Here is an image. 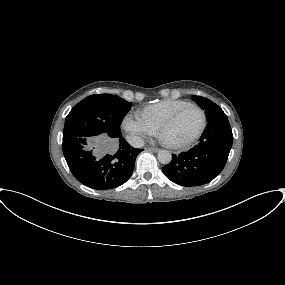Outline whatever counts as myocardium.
Returning <instances> with one entry per match:
<instances>
[{
  "mask_svg": "<svg viewBox=\"0 0 285 285\" xmlns=\"http://www.w3.org/2000/svg\"><path fill=\"white\" fill-rule=\"evenodd\" d=\"M187 108H196L201 113L202 124H201L199 130L190 138L183 140V141H180V142H172V141L167 140L164 136L166 130L169 129L177 121V119L182 114V112L184 110H186ZM206 125H207V117H206L204 110L196 104L189 103V104L181 107L180 109H178L172 116H170L165 122H163L158 127L157 131H158V134L161 136V138H162V140L166 146H168L170 148L178 149V148L186 147V146L192 144L193 142H195L197 139H199L200 136L203 134V132L206 128Z\"/></svg>",
  "mask_w": 285,
  "mask_h": 285,
  "instance_id": "obj_1",
  "label": "myocardium"
}]
</instances>
